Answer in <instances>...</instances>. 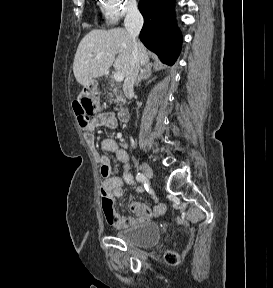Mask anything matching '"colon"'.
<instances>
[{"mask_svg": "<svg viewBox=\"0 0 273 288\" xmlns=\"http://www.w3.org/2000/svg\"><path fill=\"white\" fill-rule=\"evenodd\" d=\"M101 109V103L98 98L81 96L73 102V110L81 127L86 128L90 123V116L96 115ZM166 260L170 264H177L179 261L176 252H168Z\"/></svg>", "mask_w": 273, "mask_h": 288, "instance_id": "1", "label": "colon"}]
</instances>
